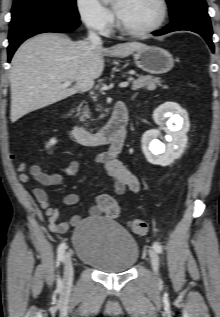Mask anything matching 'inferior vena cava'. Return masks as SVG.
<instances>
[{
    "instance_id": "602c4592",
    "label": "inferior vena cava",
    "mask_w": 220,
    "mask_h": 317,
    "mask_svg": "<svg viewBox=\"0 0 220 317\" xmlns=\"http://www.w3.org/2000/svg\"><path fill=\"white\" fill-rule=\"evenodd\" d=\"M87 39L92 44V46L102 45L101 38L92 30L89 31Z\"/></svg>"
}]
</instances>
